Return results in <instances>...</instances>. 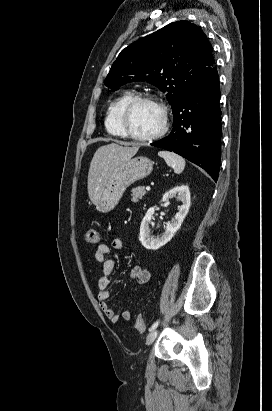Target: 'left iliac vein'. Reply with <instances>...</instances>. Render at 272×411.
Masks as SVG:
<instances>
[{
	"label": "left iliac vein",
	"mask_w": 272,
	"mask_h": 411,
	"mask_svg": "<svg viewBox=\"0 0 272 411\" xmlns=\"http://www.w3.org/2000/svg\"><path fill=\"white\" fill-rule=\"evenodd\" d=\"M157 335H158V329L152 330L146 338V345L148 346L151 345L156 339Z\"/></svg>",
	"instance_id": "1"
}]
</instances>
